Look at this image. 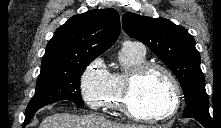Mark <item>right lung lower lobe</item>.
<instances>
[{"label":"right lung lower lobe","instance_id":"obj_1","mask_svg":"<svg viewBox=\"0 0 221 128\" xmlns=\"http://www.w3.org/2000/svg\"><path fill=\"white\" fill-rule=\"evenodd\" d=\"M39 109H40V108H39ZM37 110H38V109H37ZM37 110H33V111H31V112H29V113L26 114L23 127H25L26 124H28V122L32 119V117L34 116V114L36 113Z\"/></svg>","mask_w":221,"mask_h":128}]
</instances>
